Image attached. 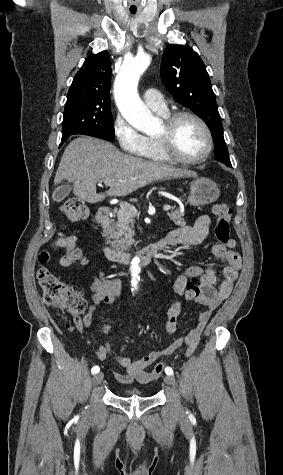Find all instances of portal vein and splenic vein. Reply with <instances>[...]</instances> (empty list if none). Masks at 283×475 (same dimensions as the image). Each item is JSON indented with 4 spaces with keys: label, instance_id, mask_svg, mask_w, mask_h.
Instances as JSON below:
<instances>
[{
    "label": "portal vein and splenic vein",
    "instance_id": "1",
    "mask_svg": "<svg viewBox=\"0 0 283 475\" xmlns=\"http://www.w3.org/2000/svg\"><path fill=\"white\" fill-rule=\"evenodd\" d=\"M114 182H116V180H111V178H105V180H103V184H105V186H114ZM121 208L122 210H131V212H134V214H137V210L136 208H134V206H130V204H121ZM171 206H163V210H165V212H167V210H170Z\"/></svg>",
    "mask_w": 283,
    "mask_h": 475
}]
</instances>
